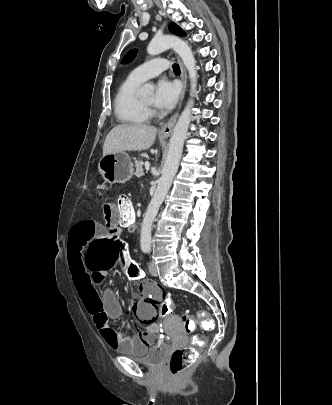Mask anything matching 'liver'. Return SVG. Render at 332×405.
<instances>
[{"label":"liver","instance_id":"obj_1","mask_svg":"<svg viewBox=\"0 0 332 405\" xmlns=\"http://www.w3.org/2000/svg\"><path fill=\"white\" fill-rule=\"evenodd\" d=\"M157 128L146 124H121L106 136L103 156L123 151H142L152 146Z\"/></svg>","mask_w":332,"mask_h":405}]
</instances>
